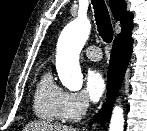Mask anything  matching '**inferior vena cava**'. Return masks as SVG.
Segmentation results:
<instances>
[{
	"label": "inferior vena cava",
	"mask_w": 147,
	"mask_h": 131,
	"mask_svg": "<svg viewBox=\"0 0 147 131\" xmlns=\"http://www.w3.org/2000/svg\"><path fill=\"white\" fill-rule=\"evenodd\" d=\"M88 105H89L88 100L83 101L82 106H81V110H82V115L83 116L86 115Z\"/></svg>",
	"instance_id": "602c4592"
}]
</instances>
